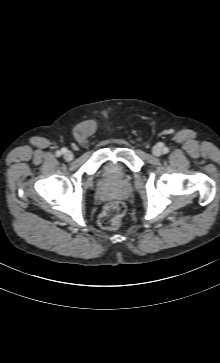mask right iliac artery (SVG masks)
Returning <instances> with one entry per match:
<instances>
[{
  "instance_id": "82829eb1",
  "label": "right iliac artery",
  "mask_w": 220,
  "mask_h": 363,
  "mask_svg": "<svg viewBox=\"0 0 220 363\" xmlns=\"http://www.w3.org/2000/svg\"><path fill=\"white\" fill-rule=\"evenodd\" d=\"M66 151V149L65 148H63L61 151H57L56 152V155L57 156H60L62 153H64Z\"/></svg>"
}]
</instances>
